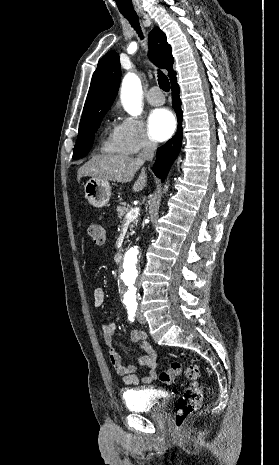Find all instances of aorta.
Listing matches in <instances>:
<instances>
[{"mask_svg": "<svg viewBox=\"0 0 279 465\" xmlns=\"http://www.w3.org/2000/svg\"><path fill=\"white\" fill-rule=\"evenodd\" d=\"M121 102L124 109L132 116H137L142 111L141 81L134 73H127L122 81ZM138 257V248H131L126 252L121 266L120 288L125 303L135 299L139 279Z\"/></svg>", "mask_w": 279, "mask_h": 465, "instance_id": "aorta-1", "label": "aorta"}]
</instances>
